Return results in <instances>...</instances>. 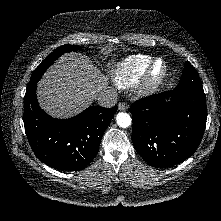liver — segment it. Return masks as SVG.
<instances>
[{"mask_svg":"<svg viewBox=\"0 0 221 221\" xmlns=\"http://www.w3.org/2000/svg\"><path fill=\"white\" fill-rule=\"evenodd\" d=\"M108 87V78L85 56L65 54L38 83L41 108L55 118H68L90 106Z\"/></svg>","mask_w":221,"mask_h":221,"instance_id":"1","label":"liver"}]
</instances>
